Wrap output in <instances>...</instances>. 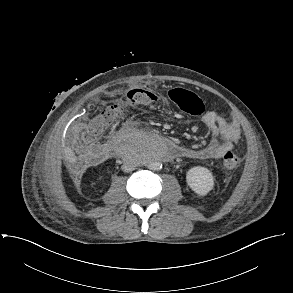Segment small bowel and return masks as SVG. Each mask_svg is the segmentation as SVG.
I'll return each mask as SVG.
<instances>
[{
  "label": "small bowel",
  "instance_id": "c3829d8e",
  "mask_svg": "<svg viewBox=\"0 0 293 293\" xmlns=\"http://www.w3.org/2000/svg\"><path fill=\"white\" fill-rule=\"evenodd\" d=\"M152 102H154L153 94ZM193 114L201 116L203 124L210 133V140L203 148H183L180 151L182 157L198 160L220 159L225 151L234 149L239 143L241 139L239 126L216 116L212 112H206L204 103L200 98H198Z\"/></svg>",
  "mask_w": 293,
  "mask_h": 293
}]
</instances>
